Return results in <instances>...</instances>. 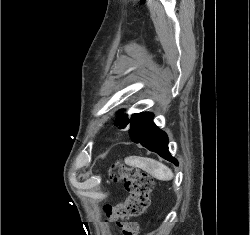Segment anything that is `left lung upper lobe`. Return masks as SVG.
Here are the masks:
<instances>
[{
    "mask_svg": "<svg viewBox=\"0 0 250 235\" xmlns=\"http://www.w3.org/2000/svg\"><path fill=\"white\" fill-rule=\"evenodd\" d=\"M115 123L120 126V128H125L126 126H128L129 124V119L127 117L126 114L122 115L121 117H119Z\"/></svg>",
    "mask_w": 250,
    "mask_h": 235,
    "instance_id": "left-lung-upper-lobe-1",
    "label": "left lung upper lobe"
}]
</instances>
